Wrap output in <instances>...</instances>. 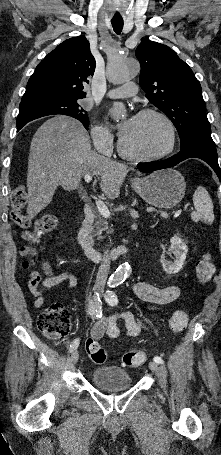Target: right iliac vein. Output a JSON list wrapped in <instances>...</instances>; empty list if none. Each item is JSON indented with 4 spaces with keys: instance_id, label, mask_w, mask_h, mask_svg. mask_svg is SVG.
Returning a JSON list of instances; mask_svg holds the SVG:
<instances>
[{
    "instance_id": "right-iliac-vein-1",
    "label": "right iliac vein",
    "mask_w": 221,
    "mask_h": 455,
    "mask_svg": "<svg viewBox=\"0 0 221 455\" xmlns=\"http://www.w3.org/2000/svg\"><path fill=\"white\" fill-rule=\"evenodd\" d=\"M78 359H79V353L77 350H75L71 354L70 361H71V363L76 364L78 362Z\"/></svg>"
}]
</instances>
